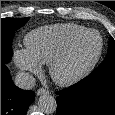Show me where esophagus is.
I'll list each match as a JSON object with an SVG mask.
<instances>
[{
  "mask_svg": "<svg viewBox=\"0 0 115 115\" xmlns=\"http://www.w3.org/2000/svg\"><path fill=\"white\" fill-rule=\"evenodd\" d=\"M47 94H49V91L46 90V89H44V88H40V89H38V90L36 91V95H37V96L47 95Z\"/></svg>",
  "mask_w": 115,
  "mask_h": 115,
  "instance_id": "1",
  "label": "esophagus"
}]
</instances>
